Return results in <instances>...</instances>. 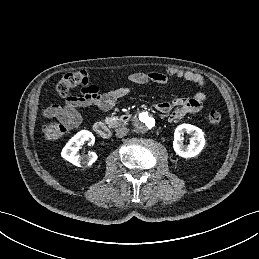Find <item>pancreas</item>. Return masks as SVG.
Instances as JSON below:
<instances>
[{"mask_svg":"<svg viewBox=\"0 0 259 259\" xmlns=\"http://www.w3.org/2000/svg\"><path fill=\"white\" fill-rule=\"evenodd\" d=\"M112 121H113V118H112V117L106 118V122H107V123H111Z\"/></svg>","mask_w":259,"mask_h":259,"instance_id":"1","label":"pancreas"}]
</instances>
